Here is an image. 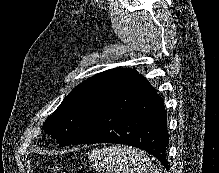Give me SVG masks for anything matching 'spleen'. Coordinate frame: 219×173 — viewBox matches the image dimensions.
<instances>
[{
	"instance_id": "spleen-1",
	"label": "spleen",
	"mask_w": 219,
	"mask_h": 173,
	"mask_svg": "<svg viewBox=\"0 0 219 173\" xmlns=\"http://www.w3.org/2000/svg\"><path fill=\"white\" fill-rule=\"evenodd\" d=\"M89 160L96 170L108 173H161L145 153L128 147L95 149Z\"/></svg>"
}]
</instances>
